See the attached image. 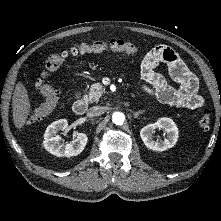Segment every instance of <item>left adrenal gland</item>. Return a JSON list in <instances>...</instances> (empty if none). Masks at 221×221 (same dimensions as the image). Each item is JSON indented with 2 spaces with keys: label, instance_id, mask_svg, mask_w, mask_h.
<instances>
[{
  "label": "left adrenal gland",
  "instance_id": "obj_1",
  "mask_svg": "<svg viewBox=\"0 0 221 221\" xmlns=\"http://www.w3.org/2000/svg\"><path fill=\"white\" fill-rule=\"evenodd\" d=\"M143 112H145V110H139V111H137V112H133L134 118H138V116H139L140 114H142Z\"/></svg>",
  "mask_w": 221,
  "mask_h": 221
}]
</instances>
